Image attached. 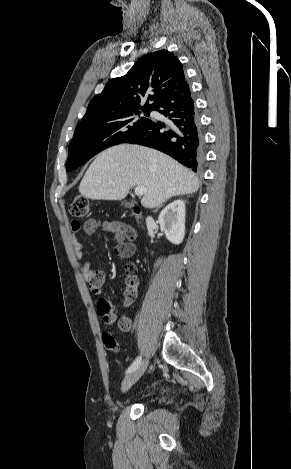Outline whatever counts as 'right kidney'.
I'll return each mask as SVG.
<instances>
[{
  "label": "right kidney",
  "instance_id": "obj_1",
  "mask_svg": "<svg viewBox=\"0 0 291 469\" xmlns=\"http://www.w3.org/2000/svg\"><path fill=\"white\" fill-rule=\"evenodd\" d=\"M185 202L176 200L167 205L159 215L160 229L173 244H180L185 236Z\"/></svg>",
  "mask_w": 291,
  "mask_h": 469
}]
</instances>
